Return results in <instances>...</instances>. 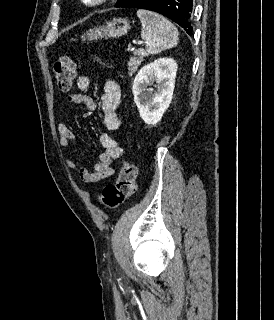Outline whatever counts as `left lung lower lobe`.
I'll list each match as a JSON object with an SVG mask.
<instances>
[{"instance_id": "obj_1", "label": "left lung lower lobe", "mask_w": 274, "mask_h": 320, "mask_svg": "<svg viewBox=\"0 0 274 320\" xmlns=\"http://www.w3.org/2000/svg\"><path fill=\"white\" fill-rule=\"evenodd\" d=\"M121 7L140 8L158 12L192 33L193 0H128Z\"/></svg>"}]
</instances>
